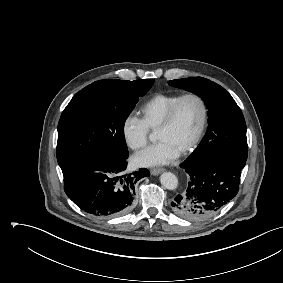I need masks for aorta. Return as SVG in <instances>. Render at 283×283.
<instances>
[{"label": "aorta", "mask_w": 283, "mask_h": 283, "mask_svg": "<svg viewBox=\"0 0 283 283\" xmlns=\"http://www.w3.org/2000/svg\"><path fill=\"white\" fill-rule=\"evenodd\" d=\"M161 184L169 190H174L178 186L177 177L171 172H165L160 176Z\"/></svg>", "instance_id": "1"}]
</instances>
